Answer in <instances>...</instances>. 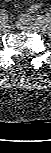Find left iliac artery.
<instances>
[{"label":"left iliac artery","instance_id":"obj_1","mask_svg":"<svg viewBox=\"0 0 51 153\" xmlns=\"http://www.w3.org/2000/svg\"><path fill=\"white\" fill-rule=\"evenodd\" d=\"M25 16L26 19H32L30 18L28 15H23ZM32 21H38L42 24H46L47 28H49L51 26V13H48L44 16H40L37 19H32Z\"/></svg>","mask_w":51,"mask_h":153}]
</instances>
